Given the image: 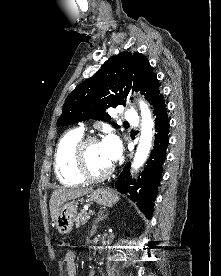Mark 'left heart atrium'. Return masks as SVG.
<instances>
[{"instance_id": "obj_1", "label": "left heart atrium", "mask_w": 221, "mask_h": 276, "mask_svg": "<svg viewBox=\"0 0 221 276\" xmlns=\"http://www.w3.org/2000/svg\"><path fill=\"white\" fill-rule=\"evenodd\" d=\"M101 147L106 158L113 163L121 153V145L118 138L114 135H109L101 142Z\"/></svg>"}]
</instances>
